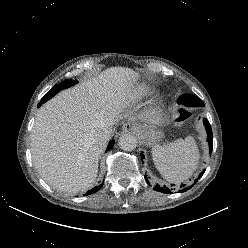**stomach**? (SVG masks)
I'll list each match as a JSON object with an SVG mask.
<instances>
[{
  "label": "stomach",
  "mask_w": 248,
  "mask_h": 248,
  "mask_svg": "<svg viewBox=\"0 0 248 248\" xmlns=\"http://www.w3.org/2000/svg\"><path fill=\"white\" fill-rule=\"evenodd\" d=\"M137 131L140 133L142 139L148 144H152L162 137V132L155 131L153 129H144L137 127Z\"/></svg>",
  "instance_id": "stomach-1"
}]
</instances>
